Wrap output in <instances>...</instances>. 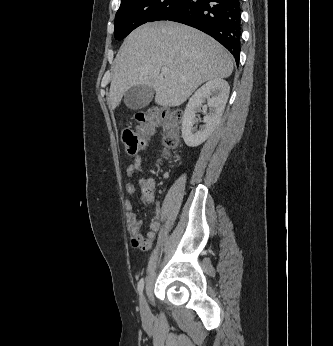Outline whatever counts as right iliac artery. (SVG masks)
Here are the masks:
<instances>
[{
	"mask_svg": "<svg viewBox=\"0 0 333 346\" xmlns=\"http://www.w3.org/2000/svg\"><path fill=\"white\" fill-rule=\"evenodd\" d=\"M144 289V279L142 278L138 283V292L141 295Z\"/></svg>",
	"mask_w": 333,
	"mask_h": 346,
	"instance_id": "82829eb1",
	"label": "right iliac artery"
}]
</instances>
